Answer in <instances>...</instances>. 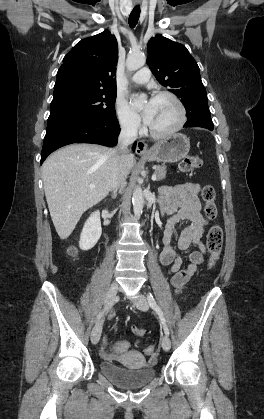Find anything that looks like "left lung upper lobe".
Instances as JSON below:
<instances>
[{"instance_id": "left-lung-upper-lobe-1", "label": "left lung upper lobe", "mask_w": 264, "mask_h": 419, "mask_svg": "<svg viewBox=\"0 0 264 419\" xmlns=\"http://www.w3.org/2000/svg\"><path fill=\"white\" fill-rule=\"evenodd\" d=\"M147 50L154 76L181 99L186 113L208 106L199 67L184 45L158 34L149 40Z\"/></svg>"}]
</instances>
